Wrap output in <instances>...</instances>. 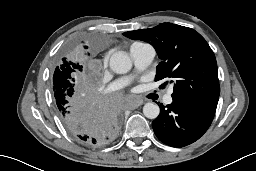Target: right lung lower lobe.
<instances>
[{"label":"right lung lower lobe","mask_w":256,"mask_h":171,"mask_svg":"<svg viewBox=\"0 0 256 171\" xmlns=\"http://www.w3.org/2000/svg\"><path fill=\"white\" fill-rule=\"evenodd\" d=\"M59 116L68 131L83 145L100 147L117 136L121 116L115 102H105L87 92L72 106L58 107Z\"/></svg>","instance_id":"1"}]
</instances>
